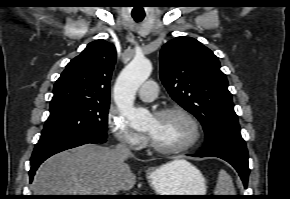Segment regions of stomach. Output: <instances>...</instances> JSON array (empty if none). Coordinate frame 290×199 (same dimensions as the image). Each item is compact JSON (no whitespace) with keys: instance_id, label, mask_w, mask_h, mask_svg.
<instances>
[{"instance_id":"stomach-1","label":"stomach","mask_w":290,"mask_h":199,"mask_svg":"<svg viewBox=\"0 0 290 199\" xmlns=\"http://www.w3.org/2000/svg\"><path fill=\"white\" fill-rule=\"evenodd\" d=\"M147 178L157 195H206V180L193 165L181 160L176 166L169 163L152 169ZM167 198L197 199L199 196H170Z\"/></svg>"}]
</instances>
